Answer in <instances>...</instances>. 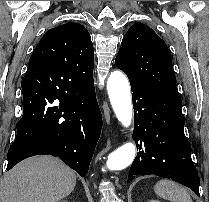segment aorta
Segmentation results:
<instances>
[{
    "label": "aorta",
    "mask_w": 209,
    "mask_h": 202,
    "mask_svg": "<svg viewBox=\"0 0 209 202\" xmlns=\"http://www.w3.org/2000/svg\"><path fill=\"white\" fill-rule=\"evenodd\" d=\"M107 91L117 119L125 128L130 127L133 121V108L127 77L119 70L111 72L107 81ZM135 154L134 143L126 142L108 156L107 168L122 170L133 162Z\"/></svg>",
    "instance_id": "1"
}]
</instances>
